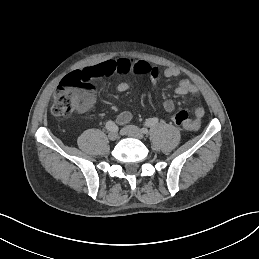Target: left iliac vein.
Instances as JSON below:
<instances>
[{
	"label": "left iliac vein",
	"instance_id": "1",
	"mask_svg": "<svg viewBox=\"0 0 259 259\" xmlns=\"http://www.w3.org/2000/svg\"><path fill=\"white\" fill-rule=\"evenodd\" d=\"M124 132L126 135L133 137V138H137V139H143L144 138V134L143 131L138 128L137 126L134 125H128L124 128Z\"/></svg>",
	"mask_w": 259,
	"mask_h": 259
}]
</instances>
